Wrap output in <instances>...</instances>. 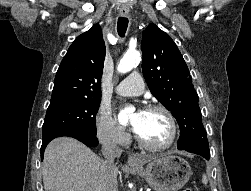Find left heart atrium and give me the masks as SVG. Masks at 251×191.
Segmentation results:
<instances>
[{
	"label": "left heart atrium",
	"instance_id": "left-heart-atrium-1",
	"mask_svg": "<svg viewBox=\"0 0 251 191\" xmlns=\"http://www.w3.org/2000/svg\"><path fill=\"white\" fill-rule=\"evenodd\" d=\"M145 110H143V109H138L137 111H136V113H135V115H134V117H133V120H132V122H131V125H132V129L134 130V131H138L139 130V128H140V125H141V122H142V120H143V117H144V115H145Z\"/></svg>",
	"mask_w": 251,
	"mask_h": 191
}]
</instances>
